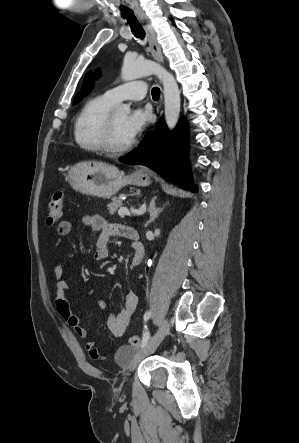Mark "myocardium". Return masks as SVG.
<instances>
[{"label": "myocardium", "mask_w": 299, "mask_h": 443, "mask_svg": "<svg viewBox=\"0 0 299 443\" xmlns=\"http://www.w3.org/2000/svg\"><path fill=\"white\" fill-rule=\"evenodd\" d=\"M135 144L134 140L123 146H117L114 143V123L113 115L109 114L104 125L102 136V148L103 151L110 155H121L133 148Z\"/></svg>", "instance_id": "1"}]
</instances>
